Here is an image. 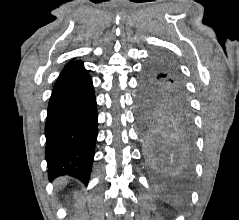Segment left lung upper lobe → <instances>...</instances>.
Wrapping results in <instances>:
<instances>
[{
    "label": "left lung upper lobe",
    "mask_w": 239,
    "mask_h": 220,
    "mask_svg": "<svg viewBox=\"0 0 239 220\" xmlns=\"http://www.w3.org/2000/svg\"><path fill=\"white\" fill-rule=\"evenodd\" d=\"M141 122L155 128L171 111L189 112L181 70L170 56L160 53L148 63L143 80Z\"/></svg>",
    "instance_id": "obj_1"
}]
</instances>
